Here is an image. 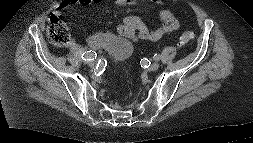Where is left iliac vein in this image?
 I'll use <instances>...</instances> for the list:
<instances>
[{
    "mask_svg": "<svg viewBox=\"0 0 253 143\" xmlns=\"http://www.w3.org/2000/svg\"><path fill=\"white\" fill-rule=\"evenodd\" d=\"M159 63L158 62H154V63H152V65L150 66V70L151 71H156L158 68H159Z\"/></svg>",
    "mask_w": 253,
    "mask_h": 143,
    "instance_id": "obj_1",
    "label": "left iliac vein"
}]
</instances>
